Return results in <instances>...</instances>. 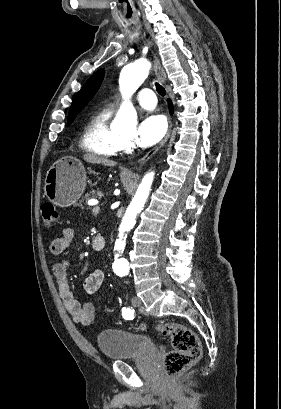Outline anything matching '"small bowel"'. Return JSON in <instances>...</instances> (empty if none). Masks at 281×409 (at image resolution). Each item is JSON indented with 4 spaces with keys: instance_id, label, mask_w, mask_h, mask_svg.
I'll return each instance as SVG.
<instances>
[{
    "instance_id": "c3829d8e",
    "label": "small bowel",
    "mask_w": 281,
    "mask_h": 409,
    "mask_svg": "<svg viewBox=\"0 0 281 409\" xmlns=\"http://www.w3.org/2000/svg\"><path fill=\"white\" fill-rule=\"evenodd\" d=\"M74 238V231L71 228H63L60 235L53 239L50 245L52 254L62 256ZM104 244V242H103ZM69 261L60 259L53 265V273L57 279L59 296L65 305L66 310L71 315L76 324L91 327L94 324L96 312L90 303L82 305L75 297L69 282ZM105 279V273L101 269H96L89 274L84 281V289L88 294L97 292Z\"/></svg>"
}]
</instances>
